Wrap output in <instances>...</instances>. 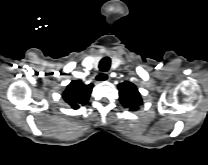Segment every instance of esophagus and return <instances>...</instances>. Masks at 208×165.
I'll list each match as a JSON object with an SVG mask.
<instances>
[{"instance_id":"obj_1","label":"esophagus","mask_w":208,"mask_h":165,"mask_svg":"<svg viewBox=\"0 0 208 165\" xmlns=\"http://www.w3.org/2000/svg\"><path fill=\"white\" fill-rule=\"evenodd\" d=\"M99 79L100 80H107V81H109L110 80V75L107 72H103V73H101L99 75Z\"/></svg>"}]
</instances>
